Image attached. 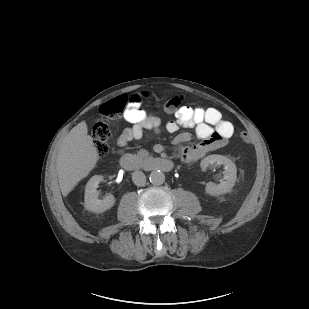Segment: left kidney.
<instances>
[{"label":"left kidney","instance_id":"1","mask_svg":"<svg viewBox=\"0 0 309 309\" xmlns=\"http://www.w3.org/2000/svg\"><path fill=\"white\" fill-rule=\"evenodd\" d=\"M217 163L219 165H224V179L225 181L220 184H215L213 182H208L205 187V191L207 194L212 196H217L221 194L228 193L235 185L237 179V168L236 165L227 157L222 155H209L205 157L200 165L203 170H205L208 166Z\"/></svg>","mask_w":309,"mask_h":309}]
</instances>
